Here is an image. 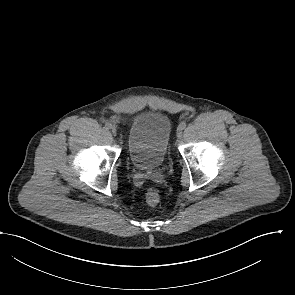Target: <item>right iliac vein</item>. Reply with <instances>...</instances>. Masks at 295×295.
<instances>
[{"label":"right iliac vein","mask_w":295,"mask_h":295,"mask_svg":"<svg viewBox=\"0 0 295 295\" xmlns=\"http://www.w3.org/2000/svg\"><path fill=\"white\" fill-rule=\"evenodd\" d=\"M111 132L115 135V134L117 133V129H116V127H112V128H111Z\"/></svg>","instance_id":"63e3f726"}]
</instances>
